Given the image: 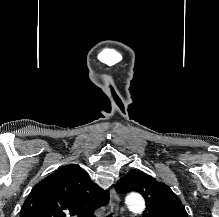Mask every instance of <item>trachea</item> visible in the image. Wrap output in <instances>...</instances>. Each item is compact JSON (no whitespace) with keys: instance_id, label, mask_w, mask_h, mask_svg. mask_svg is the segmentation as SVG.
<instances>
[{"instance_id":"1","label":"trachea","mask_w":219,"mask_h":217,"mask_svg":"<svg viewBox=\"0 0 219 217\" xmlns=\"http://www.w3.org/2000/svg\"><path fill=\"white\" fill-rule=\"evenodd\" d=\"M106 217H112V214H109L108 216H106Z\"/></svg>"}]
</instances>
